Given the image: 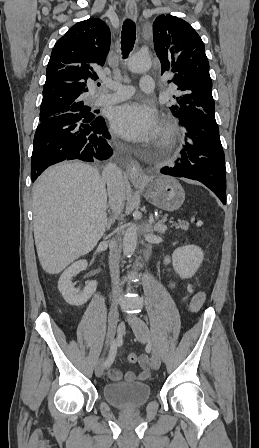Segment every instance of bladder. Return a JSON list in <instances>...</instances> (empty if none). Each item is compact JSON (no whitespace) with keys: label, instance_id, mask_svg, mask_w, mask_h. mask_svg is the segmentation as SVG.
Wrapping results in <instances>:
<instances>
[{"label":"bladder","instance_id":"31cf9c89","mask_svg":"<svg viewBox=\"0 0 259 448\" xmlns=\"http://www.w3.org/2000/svg\"><path fill=\"white\" fill-rule=\"evenodd\" d=\"M151 394V388L147 383H109L103 388L105 400L112 406L131 410L144 406Z\"/></svg>","mask_w":259,"mask_h":448}]
</instances>
